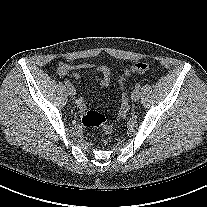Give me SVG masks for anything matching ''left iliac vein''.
Returning a JSON list of instances; mask_svg holds the SVG:
<instances>
[{
  "label": "left iliac vein",
  "mask_w": 207,
  "mask_h": 207,
  "mask_svg": "<svg viewBox=\"0 0 207 207\" xmlns=\"http://www.w3.org/2000/svg\"><path fill=\"white\" fill-rule=\"evenodd\" d=\"M139 98H140L139 90L138 89L133 90L132 93H131V99L133 101H137Z\"/></svg>",
  "instance_id": "left-iliac-vein-1"
}]
</instances>
